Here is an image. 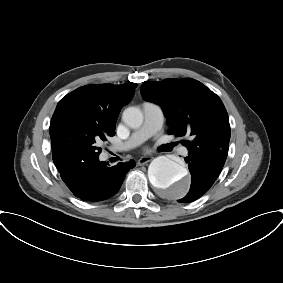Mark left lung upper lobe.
<instances>
[{"mask_svg":"<svg viewBox=\"0 0 283 283\" xmlns=\"http://www.w3.org/2000/svg\"><path fill=\"white\" fill-rule=\"evenodd\" d=\"M141 94L161 105L170 133L189 137L181 140L188 156L208 168L222 170L231 131L227 111L215 93L201 82L185 78L145 82Z\"/></svg>","mask_w":283,"mask_h":283,"instance_id":"1","label":"left lung upper lobe"}]
</instances>
